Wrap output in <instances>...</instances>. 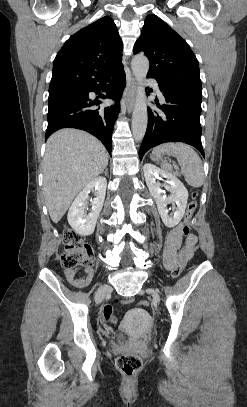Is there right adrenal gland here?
I'll return each mask as SVG.
<instances>
[{"label": "right adrenal gland", "mask_w": 247, "mask_h": 407, "mask_svg": "<svg viewBox=\"0 0 247 407\" xmlns=\"http://www.w3.org/2000/svg\"><path fill=\"white\" fill-rule=\"evenodd\" d=\"M103 173L105 174V176H107L108 175V169L106 168Z\"/></svg>", "instance_id": "1"}]
</instances>
